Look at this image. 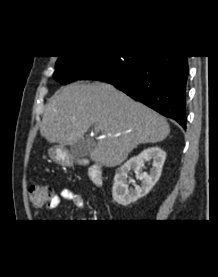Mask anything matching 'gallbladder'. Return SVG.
<instances>
[{
	"instance_id": "gallbladder-1",
	"label": "gallbladder",
	"mask_w": 218,
	"mask_h": 277,
	"mask_svg": "<svg viewBox=\"0 0 218 277\" xmlns=\"http://www.w3.org/2000/svg\"><path fill=\"white\" fill-rule=\"evenodd\" d=\"M93 149V142L88 138H82L70 147V152L76 157H83Z\"/></svg>"
}]
</instances>
